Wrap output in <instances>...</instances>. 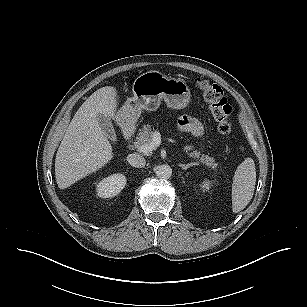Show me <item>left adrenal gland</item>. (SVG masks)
<instances>
[{
	"mask_svg": "<svg viewBox=\"0 0 307 307\" xmlns=\"http://www.w3.org/2000/svg\"><path fill=\"white\" fill-rule=\"evenodd\" d=\"M197 165L196 163H188V164H179V166L183 169V170H187L188 168Z\"/></svg>",
	"mask_w": 307,
	"mask_h": 307,
	"instance_id": "obj_1",
	"label": "left adrenal gland"
}]
</instances>
